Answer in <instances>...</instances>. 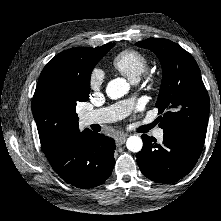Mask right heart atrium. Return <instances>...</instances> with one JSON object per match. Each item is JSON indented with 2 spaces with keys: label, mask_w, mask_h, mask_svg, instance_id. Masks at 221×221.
<instances>
[{
  "label": "right heart atrium",
  "mask_w": 221,
  "mask_h": 221,
  "mask_svg": "<svg viewBox=\"0 0 221 221\" xmlns=\"http://www.w3.org/2000/svg\"><path fill=\"white\" fill-rule=\"evenodd\" d=\"M106 81V73L100 68L91 70L88 76L89 87L93 90L102 88Z\"/></svg>",
  "instance_id": "right-heart-atrium-1"
}]
</instances>
